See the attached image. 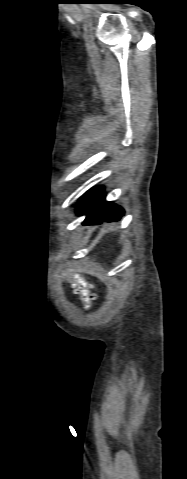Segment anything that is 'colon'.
Segmentation results:
<instances>
[{
	"label": "colon",
	"instance_id": "obj_1",
	"mask_svg": "<svg viewBox=\"0 0 187 479\" xmlns=\"http://www.w3.org/2000/svg\"><path fill=\"white\" fill-rule=\"evenodd\" d=\"M77 293L82 299V302L86 309H89L94 300V295L90 292L86 283H80L76 289Z\"/></svg>",
	"mask_w": 187,
	"mask_h": 479
}]
</instances>
